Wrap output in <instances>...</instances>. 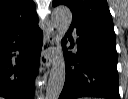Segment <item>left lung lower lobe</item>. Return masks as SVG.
I'll list each match as a JSON object with an SVG mask.
<instances>
[{
  "label": "left lung lower lobe",
  "instance_id": "0a47b994",
  "mask_svg": "<svg viewBox=\"0 0 128 99\" xmlns=\"http://www.w3.org/2000/svg\"><path fill=\"white\" fill-rule=\"evenodd\" d=\"M70 29H75L79 36L78 50L75 54L66 51V77L59 99L87 96L120 99L115 33L76 24H71Z\"/></svg>",
  "mask_w": 128,
  "mask_h": 99
}]
</instances>
